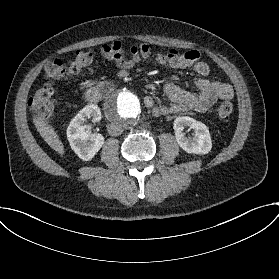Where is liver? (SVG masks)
Masks as SVG:
<instances>
[{
    "instance_id": "obj_1",
    "label": "liver",
    "mask_w": 279,
    "mask_h": 279,
    "mask_svg": "<svg viewBox=\"0 0 279 279\" xmlns=\"http://www.w3.org/2000/svg\"><path fill=\"white\" fill-rule=\"evenodd\" d=\"M33 123L40 136L49 145V147L56 151L60 156L64 157V144L55 128L52 127L48 121L36 115L33 116Z\"/></svg>"
}]
</instances>
